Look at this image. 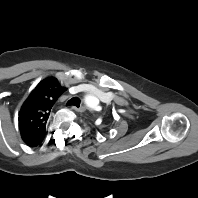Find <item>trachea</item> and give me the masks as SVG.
<instances>
[{
    "instance_id": "1",
    "label": "trachea",
    "mask_w": 198,
    "mask_h": 198,
    "mask_svg": "<svg viewBox=\"0 0 198 198\" xmlns=\"http://www.w3.org/2000/svg\"><path fill=\"white\" fill-rule=\"evenodd\" d=\"M76 106L79 107L80 106V99L78 97H73L71 98L68 102H67V106Z\"/></svg>"
}]
</instances>
